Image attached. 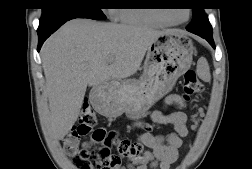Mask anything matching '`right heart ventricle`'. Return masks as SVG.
Instances as JSON below:
<instances>
[{
    "label": "right heart ventricle",
    "instance_id": "right-heart-ventricle-1",
    "mask_svg": "<svg viewBox=\"0 0 252 169\" xmlns=\"http://www.w3.org/2000/svg\"><path fill=\"white\" fill-rule=\"evenodd\" d=\"M116 20L126 25L161 27L165 24L154 19L142 9L119 8L114 11Z\"/></svg>",
    "mask_w": 252,
    "mask_h": 169
}]
</instances>
